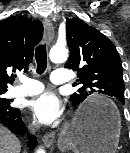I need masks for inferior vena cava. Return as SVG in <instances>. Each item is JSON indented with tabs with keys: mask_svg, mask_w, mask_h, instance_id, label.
I'll use <instances>...</instances> for the list:
<instances>
[{
	"mask_svg": "<svg viewBox=\"0 0 130 153\" xmlns=\"http://www.w3.org/2000/svg\"><path fill=\"white\" fill-rule=\"evenodd\" d=\"M36 129H37V127L35 126V127H31L30 128V130L32 131V132H35L36 131Z\"/></svg>",
	"mask_w": 130,
	"mask_h": 153,
	"instance_id": "1",
	"label": "inferior vena cava"
}]
</instances>
